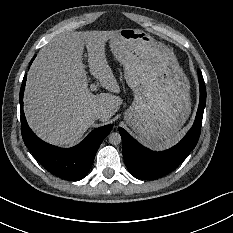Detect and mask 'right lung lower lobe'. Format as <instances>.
<instances>
[{
  "mask_svg": "<svg viewBox=\"0 0 233 233\" xmlns=\"http://www.w3.org/2000/svg\"><path fill=\"white\" fill-rule=\"evenodd\" d=\"M25 83L26 76L23 79L19 97L21 132L25 145L38 162L50 173L70 181H77L84 178L93 164L95 154L100 144L109 134L113 126L106 125L96 128L80 144L73 148L63 149L45 143L32 132L24 116L23 94Z\"/></svg>",
  "mask_w": 233,
  "mask_h": 233,
  "instance_id": "1",
  "label": "right lung lower lobe"
}]
</instances>
